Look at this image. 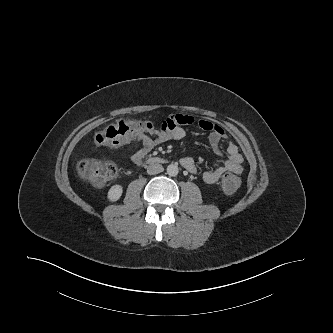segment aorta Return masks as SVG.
Here are the masks:
<instances>
[{"label": "aorta", "mask_w": 333, "mask_h": 333, "mask_svg": "<svg viewBox=\"0 0 333 333\" xmlns=\"http://www.w3.org/2000/svg\"><path fill=\"white\" fill-rule=\"evenodd\" d=\"M179 172L178 166L176 164H170L167 166V174L169 176H176Z\"/></svg>", "instance_id": "aorta-1"}]
</instances>
